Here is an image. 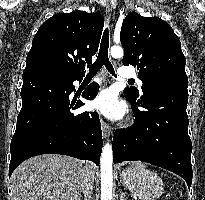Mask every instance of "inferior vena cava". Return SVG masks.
I'll use <instances>...</instances> for the list:
<instances>
[{"label":"inferior vena cava","mask_w":205,"mask_h":200,"mask_svg":"<svg viewBox=\"0 0 205 200\" xmlns=\"http://www.w3.org/2000/svg\"><path fill=\"white\" fill-rule=\"evenodd\" d=\"M93 184L94 172L92 169V165L90 163H86V165L81 169L80 173V185L84 193L85 200H91Z\"/></svg>","instance_id":"obj_1"}]
</instances>
